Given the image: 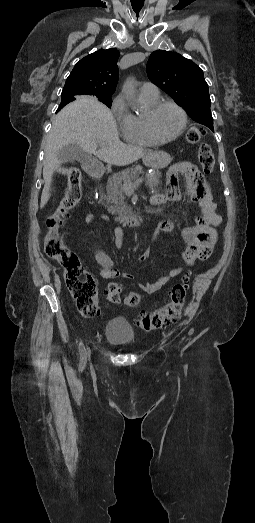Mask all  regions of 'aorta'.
<instances>
[{
    "label": "aorta",
    "mask_w": 255,
    "mask_h": 523,
    "mask_svg": "<svg viewBox=\"0 0 255 523\" xmlns=\"http://www.w3.org/2000/svg\"><path fill=\"white\" fill-rule=\"evenodd\" d=\"M123 92L130 103H136V90H135V81L130 78L127 79L123 85Z\"/></svg>",
    "instance_id": "1"
}]
</instances>
